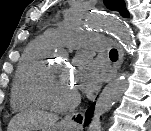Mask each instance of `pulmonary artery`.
<instances>
[{
    "label": "pulmonary artery",
    "instance_id": "pulmonary-artery-1",
    "mask_svg": "<svg viewBox=\"0 0 151 131\" xmlns=\"http://www.w3.org/2000/svg\"><path fill=\"white\" fill-rule=\"evenodd\" d=\"M48 42L56 46L87 47L103 49L105 38L90 34L71 27H58L49 29L43 36Z\"/></svg>",
    "mask_w": 151,
    "mask_h": 131
}]
</instances>
